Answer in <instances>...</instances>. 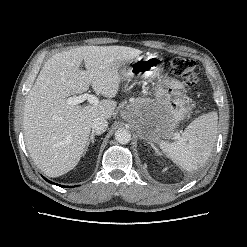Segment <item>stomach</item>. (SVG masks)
<instances>
[{
	"instance_id": "0dacf381",
	"label": "stomach",
	"mask_w": 247,
	"mask_h": 247,
	"mask_svg": "<svg viewBox=\"0 0 247 247\" xmlns=\"http://www.w3.org/2000/svg\"><path fill=\"white\" fill-rule=\"evenodd\" d=\"M119 72L121 80L127 82L156 80L154 98L136 101L138 111L132 116V123L145 139L171 137L190 111L183 83L162 75L163 58L159 55L137 56L123 64Z\"/></svg>"
}]
</instances>
